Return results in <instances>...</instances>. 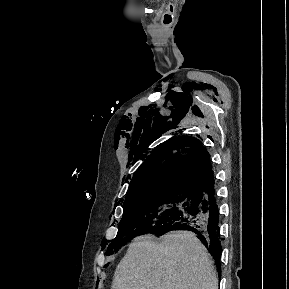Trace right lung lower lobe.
Wrapping results in <instances>:
<instances>
[{
    "mask_svg": "<svg viewBox=\"0 0 289 289\" xmlns=\"http://www.w3.org/2000/svg\"><path fill=\"white\" fill-rule=\"evenodd\" d=\"M197 203L193 209L182 219L173 223L171 226L156 231L153 234L162 235L173 230H189L197 234L200 240L209 250L215 259V263L220 275V254L222 250L221 239L219 236V211L214 191V185L205 192L196 195Z\"/></svg>",
    "mask_w": 289,
    "mask_h": 289,
    "instance_id": "right-lung-lower-lobe-1",
    "label": "right lung lower lobe"
}]
</instances>
